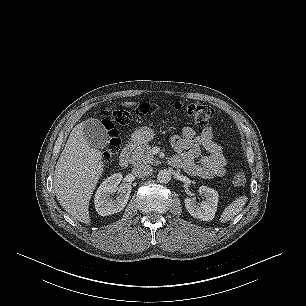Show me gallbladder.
<instances>
[{"label":"gallbladder","mask_w":306,"mask_h":306,"mask_svg":"<svg viewBox=\"0 0 306 306\" xmlns=\"http://www.w3.org/2000/svg\"><path fill=\"white\" fill-rule=\"evenodd\" d=\"M83 134L88 144L93 148H104L109 136L103 124L95 118L83 122Z\"/></svg>","instance_id":"gallbladder-1"}]
</instances>
